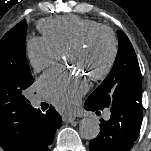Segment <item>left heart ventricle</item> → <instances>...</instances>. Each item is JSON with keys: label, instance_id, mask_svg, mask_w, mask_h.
Listing matches in <instances>:
<instances>
[{"label": "left heart ventricle", "instance_id": "left-heart-ventricle-1", "mask_svg": "<svg viewBox=\"0 0 151 151\" xmlns=\"http://www.w3.org/2000/svg\"><path fill=\"white\" fill-rule=\"evenodd\" d=\"M110 55V43L106 35H98L84 51L69 55V60L77 68L90 74L101 69Z\"/></svg>", "mask_w": 151, "mask_h": 151}]
</instances>
